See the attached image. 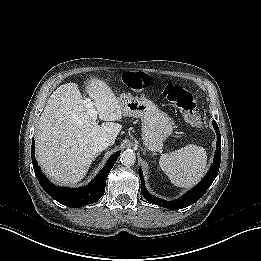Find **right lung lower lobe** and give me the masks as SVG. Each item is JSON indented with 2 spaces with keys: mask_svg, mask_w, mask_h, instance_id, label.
<instances>
[{
  "mask_svg": "<svg viewBox=\"0 0 261 261\" xmlns=\"http://www.w3.org/2000/svg\"><path fill=\"white\" fill-rule=\"evenodd\" d=\"M34 152L35 145L33 139L31 148L32 163L35 175L40 185L53 199L71 208H79L94 203L104 194L107 176L120 155L119 151L114 153L107 161L104 168L99 172L96 179H94L89 185L80 189H68L57 187L47 180L37 164Z\"/></svg>",
  "mask_w": 261,
  "mask_h": 261,
  "instance_id": "98d812e1",
  "label": "right lung lower lobe"
}]
</instances>
